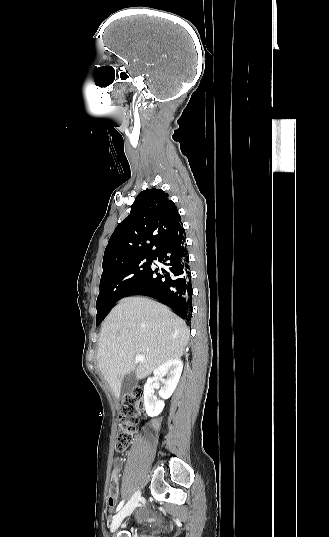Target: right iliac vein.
Returning a JSON list of instances; mask_svg holds the SVG:
<instances>
[{"instance_id": "63e3f726", "label": "right iliac vein", "mask_w": 329, "mask_h": 537, "mask_svg": "<svg viewBox=\"0 0 329 537\" xmlns=\"http://www.w3.org/2000/svg\"><path fill=\"white\" fill-rule=\"evenodd\" d=\"M141 498V492L140 490H137L132 498L128 501V503L122 508V510L116 514L111 522V525H110V532L111 533H114L118 527L120 526L121 522L123 521V519L130 515L133 510L135 509V507L137 506V504L139 503V500Z\"/></svg>"}]
</instances>
